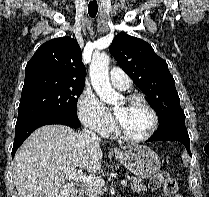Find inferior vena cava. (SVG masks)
<instances>
[{
  "mask_svg": "<svg viewBox=\"0 0 209 197\" xmlns=\"http://www.w3.org/2000/svg\"><path fill=\"white\" fill-rule=\"evenodd\" d=\"M82 134L89 135L94 141H100V138L96 135L95 132L89 131L86 128L83 129Z\"/></svg>",
  "mask_w": 209,
  "mask_h": 197,
  "instance_id": "inferior-vena-cava-1",
  "label": "inferior vena cava"
}]
</instances>
